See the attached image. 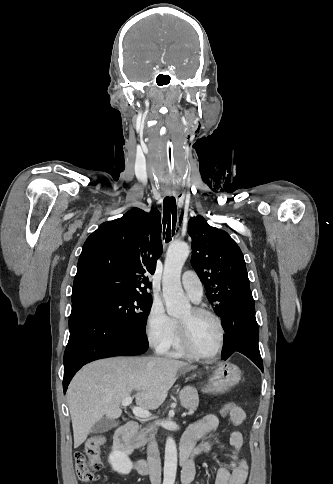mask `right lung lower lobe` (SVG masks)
I'll use <instances>...</instances> for the list:
<instances>
[{
    "label": "right lung lower lobe",
    "instance_id": "right-lung-lower-lobe-1",
    "mask_svg": "<svg viewBox=\"0 0 333 484\" xmlns=\"http://www.w3.org/2000/svg\"><path fill=\"white\" fill-rule=\"evenodd\" d=\"M70 337L64 353V393L74 374L86 363L115 355H138L148 349L147 337L133 334L97 303L72 301Z\"/></svg>",
    "mask_w": 333,
    "mask_h": 484
}]
</instances>
